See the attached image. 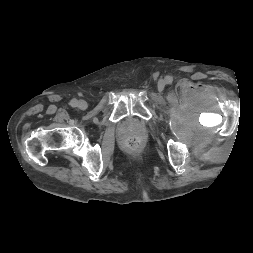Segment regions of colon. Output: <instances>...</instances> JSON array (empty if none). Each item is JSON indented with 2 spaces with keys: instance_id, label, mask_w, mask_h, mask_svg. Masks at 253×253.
<instances>
[{
  "instance_id": "obj_1",
  "label": "colon",
  "mask_w": 253,
  "mask_h": 253,
  "mask_svg": "<svg viewBox=\"0 0 253 253\" xmlns=\"http://www.w3.org/2000/svg\"><path fill=\"white\" fill-rule=\"evenodd\" d=\"M140 138L137 136H132L126 139L125 145L127 146L128 149L131 151H135L139 148L140 146Z\"/></svg>"
}]
</instances>
